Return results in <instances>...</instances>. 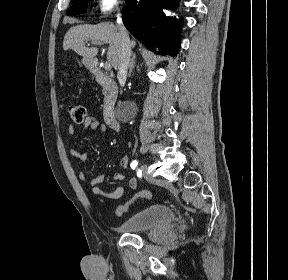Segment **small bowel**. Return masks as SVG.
<instances>
[{"label": "small bowel", "instance_id": "small-bowel-1", "mask_svg": "<svg viewBox=\"0 0 288 280\" xmlns=\"http://www.w3.org/2000/svg\"><path fill=\"white\" fill-rule=\"evenodd\" d=\"M91 129L95 132H103L105 131V125L94 116H87L83 121V125L81 130ZM69 134L71 136L76 135L77 131L74 126L70 125L68 128ZM72 156L77 158L81 163H85L88 159V154L84 152H80L76 149L70 150ZM120 165L124 168H128L129 160L126 155H121L119 159ZM79 179L86 184L87 190L95 197L106 198L110 200H117L121 198L125 192L123 186H118L112 191H106L100 187V184L105 180V176L103 174H99L95 177H89L84 171L79 173ZM113 181L115 182H126L127 187L130 190H136L137 188V180L134 177L126 178L121 173H116L113 176Z\"/></svg>", "mask_w": 288, "mask_h": 280}]
</instances>
